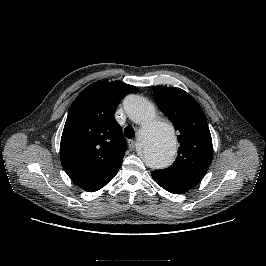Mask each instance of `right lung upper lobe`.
Returning a JSON list of instances; mask_svg holds the SVG:
<instances>
[{"label": "right lung upper lobe", "instance_id": "1", "mask_svg": "<svg viewBox=\"0 0 266 266\" xmlns=\"http://www.w3.org/2000/svg\"><path fill=\"white\" fill-rule=\"evenodd\" d=\"M135 88L116 81L95 82L71 105L61 137L60 159L71 180L85 191L101 189L121 167L126 140L114 113L120 100Z\"/></svg>", "mask_w": 266, "mask_h": 266}]
</instances>
